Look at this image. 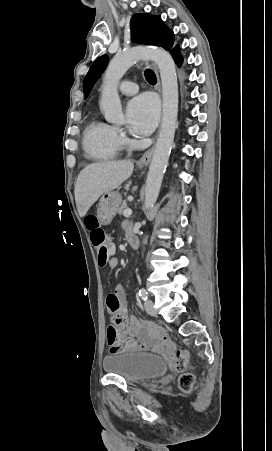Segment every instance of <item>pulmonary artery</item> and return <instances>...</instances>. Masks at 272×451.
I'll return each instance as SVG.
<instances>
[{
    "label": "pulmonary artery",
    "mask_w": 272,
    "mask_h": 451,
    "mask_svg": "<svg viewBox=\"0 0 272 451\" xmlns=\"http://www.w3.org/2000/svg\"><path fill=\"white\" fill-rule=\"evenodd\" d=\"M119 90L121 93L125 95H134L138 91L137 84L130 82V81H122L119 85Z\"/></svg>",
    "instance_id": "e3ab8cb5"
}]
</instances>
